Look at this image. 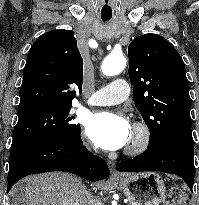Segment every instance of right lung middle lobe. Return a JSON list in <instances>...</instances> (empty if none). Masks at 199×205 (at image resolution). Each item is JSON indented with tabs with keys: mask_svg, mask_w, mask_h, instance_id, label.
<instances>
[{
	"mask_svg": "<svg viewBox=\"0 0 199 205\" xmlns=\"http://www.w3.org/2000/svg\"><path fill=\"white\" fill-rule=\"evenodd\" d=\"M72 104L40 106L18 112L19 119L14 130L10 152L47 139L80 135L81 127L70 121Z\"/></svg>",
	"mask_w": 199,
	"mask_h": 205,
	"instance_id": "1",
	"label": "right lung middle lobe"
}]
</instances>
